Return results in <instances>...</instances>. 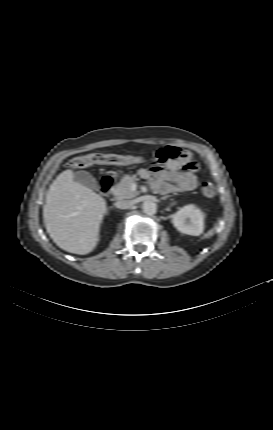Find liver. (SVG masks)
Returning <instances> with one entry per match:
<instances>
[{"label": "liver", "mask_w": 273, "mask_h": 430, "mask_svg": "<svg viewBox=\"0 0 273 430\" xmlns=\"http://www.w3.org/2000/svg\"><path fill=\"white\" fill-rule=\"evenodd\" d=\"M107 210L105 200L87 186L74 181L67 169L50 185L43 206L46 231L61 249L85 255L99 241V229Z\"/></svg>", "instance_id": "1"}]
</instances>
